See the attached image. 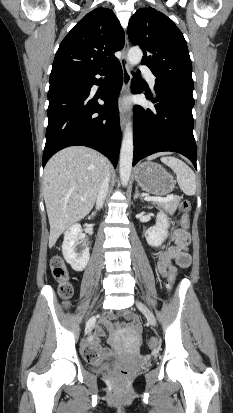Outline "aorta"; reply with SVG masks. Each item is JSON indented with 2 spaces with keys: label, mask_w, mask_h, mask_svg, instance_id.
I'll list each match as a JSON object with an SVG mask.
<instances>
[{
  "label": "aorta",
  "mask_w": 233,
  "mask_h": 413,
  "mask_svg": "<svg viewBox=\"0 0 233 413\" xmlns=\"http://www.w3.org/2000/svg\"><path fill=\"white\" fill-rule=\"evenodd\" d=\"M143 52L139 47H132L127 54V60L131 66L140 63ZM133 162V128L132 123L126 125L120 150L119 175L123 186L128 184Z\"/></svg>",
  "instance_id": "762f6f07"
}]
</instances>
